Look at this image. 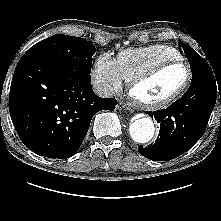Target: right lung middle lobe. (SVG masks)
<instances>
[{
    "label": "right lung middle lobe",
    "mask_w": 221,
    "mask_h": 221,
    "mask_svg": "<svg viewBox=\"0 0 221 221\" xmlns=\"http://www.w3.org/2000/svg\"><path fill=\"white\" fill-rule=\"evenodd\" d=\"M28 51L40 53L76 71L90 74L95 47L83 38L57 34L38 42Z\"/></svg>",
    "instance_id": "dd1d6c3e"
}]
</instances>
